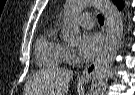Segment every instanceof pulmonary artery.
<instances>
[{
	"label": "pulmonary artery",
	"instance_id": "pulmonary-artery-1",
	"mask_svg": "<svg viewBox=\"0 0 135 95\" xmlns=\"http://www.w3.org/2000/svg\"><path fill=\"white\" fill-rule=\"evenodd\" d=\"M78 20L80 21V23L89 28L92 26L93 23V17L90 13H83L78 17Z\"/></svg>",
	"mask_w": 135,
	"mask_h": 95
}]
</instances>
